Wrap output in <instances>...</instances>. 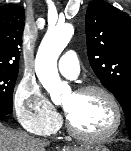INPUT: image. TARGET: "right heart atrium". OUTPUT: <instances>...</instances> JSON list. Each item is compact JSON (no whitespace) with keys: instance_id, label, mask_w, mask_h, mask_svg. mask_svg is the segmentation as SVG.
I'll return each instance as SVG.
<instances>
[{"instance_id":"1","label":"right heart atrium","mask_w":131,"mask_h":151,"mask_svg":"<svg viewBox=\"0 0 131 151\" xmlns=\"http://www.w3.org/2000/svg\"><path fill=\"white\" fill-rule=\"evenodd\" d=\"M13 106L21 126L34 134L52 133L61 120L60 115L42 94L38 85L29 79H23L17 86Z\"/></svg>"}]
</instances>
